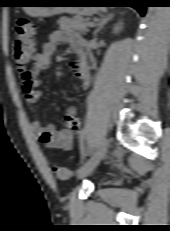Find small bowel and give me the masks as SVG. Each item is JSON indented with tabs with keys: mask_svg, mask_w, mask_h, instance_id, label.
Wrapping results in <instances>:
<instances>
[{
	"mask_svg": "<svg viewBox=\"0 0 170 231\" xmlns=\"http://www.w3.org/2000/svg\"><path fill=\"white\" fill-rule=\"evenodd\" d=\"M68 43L79 55L76 61L70 64V70L75 78L81 81L83 89H87L90 84V76L87 70L83 44L81 38L67 30H55L47 38L40 53L33 58V78L23 80L22 91L29 111L36 116L31 124L34 135L48 148L70 150L73 145L75 132L78 130L80 122L76 117V107H69L64 114L65 127L61 130L55 129L51 125H44L38 117L37 101L40 92L37 87L41 83L40 73L46 70L51 62L52 55L60 44Z\"/></svg>",
	"mask_w": 170,
	"mask_h": 231,
	"instance_id": "1",
	"label": "small bowel"
}]
</instances>
